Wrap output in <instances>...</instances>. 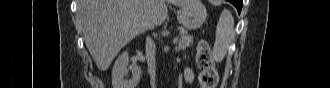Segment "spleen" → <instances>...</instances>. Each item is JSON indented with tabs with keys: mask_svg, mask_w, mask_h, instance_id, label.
<instances>
[{
	"mask_svg": "<svg viewBox=\"0 0 330 88\" xmlns=\"http://www.w3.org/2000/svg\"><path fill=\"white\" fill-rule=\"evenodd\" d=\"M234 39V19L230 11L224 9L217 24L216 40L213 47V58L216 62H221L224 59Z\"/></svg>",
	"mask_w": 330,
	"mask_h": 88,
	"instance_id": "obj_1",
	"label": "spleen"
}]
</instances>
